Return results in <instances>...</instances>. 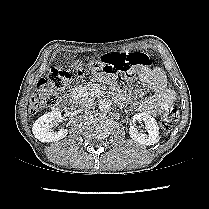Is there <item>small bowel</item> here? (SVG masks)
I'll return each mask as SVG.
<instances>
[{"label": "small bowel", "instance_id": "1", "mask_svg": "<svg viewBox=\"0 0 209 209\" xmlns=\"http://www.w3.org/2000/svg\"><path fill=\"white\" fill-rule=\"evenodd\" d=\"M140 81L146 86L147 98L138 100L132 104V108L143 113H157L170 109L175 103V93L167 88V80L164 71L161 68H149L148 65H140L136 70ZM97 80H103L109 83L114 81L110 73L98 74ZM115 97L124 102L126 100L122 91L115 88Z\"/></svg>", "mask_w": 209, "mask_h": 209}]
</instances>
